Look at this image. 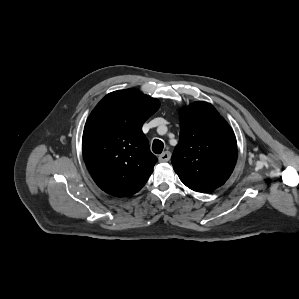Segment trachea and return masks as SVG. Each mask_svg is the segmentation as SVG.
Instances as JSON below:
<instances>
[{
    "label": "trachea",
    "instance_id": "3493384b",
    "mask_svg": "<svg viewBox=\"0 0 299 299\" xmlns=\"http://www.w3.org/2000/svg\"><path fill=\"white\" fill-rule=\"evenodd\" d=\"M164 148V144L161 140L155 139L153 141L152 150L155 154H161Z\"/></svg>",
    "mask_w": 299,
    "mask_h": 299
}]
</instances>
